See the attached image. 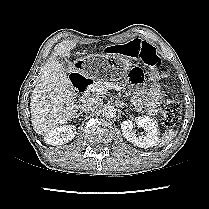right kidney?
I'll list each match as a JSON object with an SVG mask.
<instances>
[{"label":"right kidney","instance_id":"ca27d5eb","mask_svg":"<svg viewBox=\"0 0 209 209\" xmlns=\"http://www.w3.org/2000/svg\"><path fill=\"white\" fill-rule=\"evenodd\" d=\"M76 135V127L72 125H63L54 128L44 136L47 144L58 146L71 141Z\"/></svg>","mask_w":209,"mask_h":209}]
</instances>
